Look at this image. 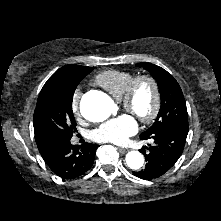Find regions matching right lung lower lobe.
Listing matches in <instances>:
<instances>
[{
    "instance_id": "right-lung-lower-lobe-1",
    "label": "right lung lower lobe",
    "mask_w": 221,
    "mask_h": 221,
    "mask_svg": "<svg viewBox=\"0 0 221 221\" xmlns=\"http://www.w3.org/2000/svg\"><path fill=\"white\" fill-rule=\"evenodd\" d=\"M50 169L63 179H73L87 172L94 163L97 145H72L69 140H51L37 145Z\"/></svg>"
}]
</instances>
